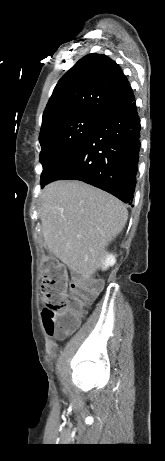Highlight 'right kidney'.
I'll list each match as a JSON object with an SVG mask.
<instances>
[{"instance_id":"1","label":"right kidney","mask_w":165,"mask_h":461,"mask_svg":"<svg viewBox=\"0 0 165 461\" xmlns=\"http://www.w3.org/2000/svg\"><path fill=\"white\" fill-rule=\"evenodd\" d=\"M116 263V258L113 254H106L105 260L103 261L102 269L106 270L108 267L113 266Z\"/></svg>"}]
</instances>
